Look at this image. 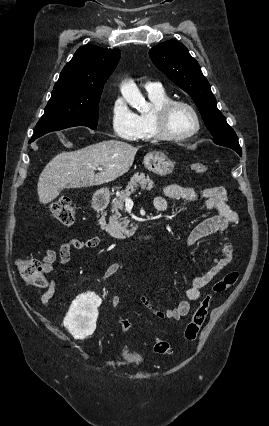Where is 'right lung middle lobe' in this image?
I'll list each match as a JSON object with an SVG mask.
<instances>
[{
	"label": "right lung middle lobe",
	"mask_w": 269,
	"mask_h": 426,
	"mask_svg": "<svg viewBox=\"0 0 269 426\" xmlns=\"http://www.w3.org/2000/svg\"><path fill=\"white\" fill-rule=\"evenodd\" d=\"M100 96L68 97L64 93H52L30 142L46 133L74 126H86L95 130Z\"/></svg>",
	"instance_id": "right-lung-middle-lobe-1"
}]
</instances>
